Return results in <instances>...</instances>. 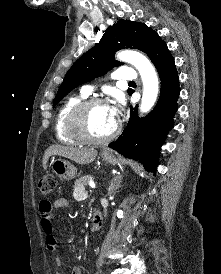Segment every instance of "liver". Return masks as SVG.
<instances>
[{
	"instance_id": "6515ba94",
	"label": "liver",
	"mask_w": 221,
	"mask_h": 274,
	"mask_svg": "<svg viewBox=\"0 0 221 274\" xmlns=\"http://www.w3.org/2000/svg\"><path fill=\"white\" fill-rule=\"evenodd\" d=\"M52 155L62 156L83 165L93 162L97 156V151L94 148L87 149L52 145L45 151L42 160L44 169H46L48 159Z\"/></svg>"
}]
</instances>
